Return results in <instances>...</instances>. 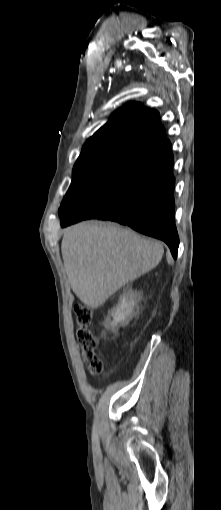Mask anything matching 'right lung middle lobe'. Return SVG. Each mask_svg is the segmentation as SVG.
Listing matches in <instances>:
<instances>
[{"label": "right lung middle lobe", "instance_id": "1", "mask_svg": "<svg viewBox=\"0 0 221 510\" xmlns=\"http://www.w3.org/2000/svg\"><path fill=\"white\" fill-rule=\"evenodd\" d=\"M151 155L152 152L131 148L78 159L59 209L60 218L70 215L80 204H85L92 214L115 207Z\"/></svg>", "mask_w": 221, "mask_h": 510}]
</instances>
